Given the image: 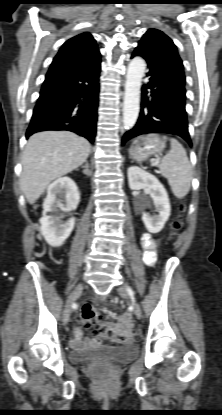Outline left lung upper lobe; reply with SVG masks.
Returning a JSON list of instances; mask_svg holds the SVG:
<instances>
[{
	"label": "left lung upper lobe",
	"mask_w": 222,
	"mask_h": 415,
	"mask_svg": "<svg viewBox=\"0 0 222 415\" xmlns=\"http://www.w3.org/2000/svg\"><path fill=\"white\" fill-rule=\"evenodd\" d=\"M140 41L151 42L160 46H164L177 52V48L173 41L165 35L162 31L157 29H149L142 37Z\"/></svg>",
	"instance_id": "obj_1"
}]
</instances>
